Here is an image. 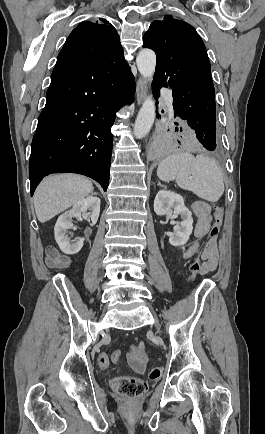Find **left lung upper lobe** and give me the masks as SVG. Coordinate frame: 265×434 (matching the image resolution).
<instances>
[{"instance_id":"5c2ea615","label":"left lung upper lobe","mask_w":265,"mask_h":434,"mask_svg":"<svg viewBox=\"0 0 265 434\" xmlns=\"http://www.w3.org/2000/svg\"><path fill=\"white\" fill-rule=\"evenodd\" d=\"M143 47L156 52L152 85L170 87L173 107L189 126L215 127V91L205 45L196 30L171 15L152 22Z\"/></svg>"}]
</instances>
